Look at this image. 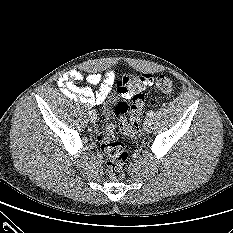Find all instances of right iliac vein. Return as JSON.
Returning a JSON list of instances; mask_svg holds the SVG:
<instances>
[{
	"label": "right iliac vein",
	"mask_w": 233,
	"mask_h": 233,
	"mask_svg": "<svg viewBox=\"0 0 233 233\" xmlns=\"http://www.w3.org/2000/svg\"><path fill=\"white\" fill-rule=\"evenodd\" d=\"M89 119H90L91 122H95L96 119H97V115L95 114V112L93 110H91L89 112Z\"/></svg>",
	"instance_id": "obj_1"
}]
</instances>
